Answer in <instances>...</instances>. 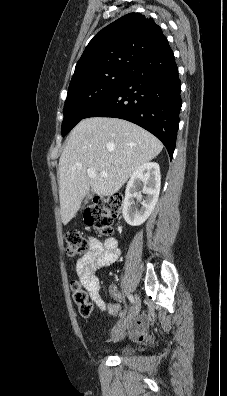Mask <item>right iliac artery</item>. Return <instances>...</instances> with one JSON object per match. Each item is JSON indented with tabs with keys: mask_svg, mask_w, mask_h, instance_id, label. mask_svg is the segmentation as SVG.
<instances>
[{
	"mask_svg": "<svg viewBox=\"0 0 227 396\" xmlns=\"http://www.w3.org/2000/svg\"><path fill=\"white\" fill-rule=\"evenodd\" d=\"M128 299H129V301L131 302V303H134V297H133V295H129L128 296Z\"/></svg>",
	"mask_w": 227,
	"mask_h": 396,
	"instance_id": "1",
	"label": "right iliac artery"
}]
</instances>
